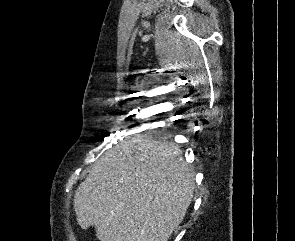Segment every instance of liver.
Returning <instances> with one entry per match:
<instances>
[{
	"instance_id": "1",
	"label": "liver",
	"mask_w": 295,
	"mask_h": 241,
	"mask_svg": "<svg viewBox=\"0 0 295 241\" xmlns=\"http://www.w3.org/2000/svg\"><path fill=\"white\" fill-rule=\"evenodd\" d=\"M194 176L178 145L128 137L77 188V222L94 226L100 241H168L192 201Z\"/></svg>"
}]
</instances>
